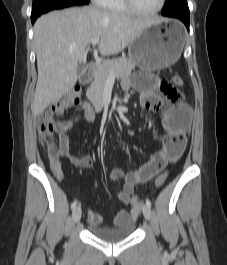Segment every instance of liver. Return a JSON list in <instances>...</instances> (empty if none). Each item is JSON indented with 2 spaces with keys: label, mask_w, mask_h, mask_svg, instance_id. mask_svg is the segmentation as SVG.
<instances>
[{
  "label": "liver",
  "mask_w": 227,
  "mask_h": 265,
  "mask_svg": "<svg viewBox=\"0 0 227 265\" xmlns=\"http://www.w3.org/2000/svg\"><path fill=\"white\" fill-rule=\"evenodd\" d=\"M151 22L95 7L70 8L41 16L34 24L38 80L32 114L68 93L77 82L78 63L90 42L99 38L101 55L123 51Z\"/></svg>",
  "instance_id": "liver-1"
}]
</instances>
